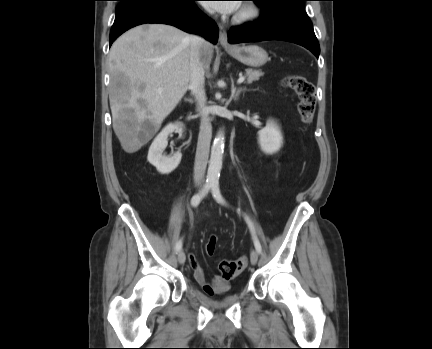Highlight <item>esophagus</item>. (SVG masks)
Returning a JSON list of instances; mask_svg holds the SVG:
<instances>
[{
	"instance_id": "esophagus-1",
	"label": "esophagus",
	"mask_w": 432,
	"mask_h": 349,
	"mask_svg": "<svg viewBox=\"0 0 432 349\" xmlns=\"http://www.w3.org/2000/svg\"><path fill=\"white\" fill-rule=\"evenodd\" d=\"M219 43L223 47H232L228 42L227 31L223 26H219Z\"/></svg>"
}]
</instances>
